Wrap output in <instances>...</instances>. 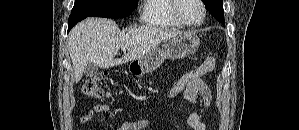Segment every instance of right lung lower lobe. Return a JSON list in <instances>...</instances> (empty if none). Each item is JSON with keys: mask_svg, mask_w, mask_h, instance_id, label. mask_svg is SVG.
<instances>
[{"mask_svg": "<svg viewBox=\"0 0 299 130\" xmlns=\"http://www.w3.org/2000/svg\"><path fill=\"white\" fill-rule=\"evenodd\" d=\"M82 19H84L82 16H72L70 15L69 20H68V32L70 31V29L79 21H81Z\"/></svg>", "mask_w": 299, "mask_h": 130, "instance_id": "1", "label": "right lung lower lobe"}]
</instances>
